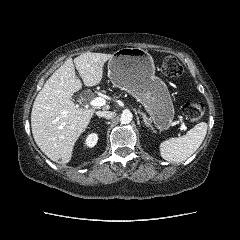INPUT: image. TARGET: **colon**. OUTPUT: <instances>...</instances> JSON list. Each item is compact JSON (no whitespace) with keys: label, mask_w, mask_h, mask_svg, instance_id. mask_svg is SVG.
I'll use <instances>...</instances> for the list:
<instances>
[{"label":"colon","mask_w":240,"mask_h":240,"mask_svg":"<svg viewBox=\"0 0 240 240\" xmlns=\"http://www.w3.org/2000/svg\"><path fill=\"white\" fill-rule=\"evenodd\" d=\"M162 71L167 77H177L182 74L183 68L175 57H167L162 64ZM205 112L204 104L199 101L187 102L183 106V113L191 123L199 122Z\"/></svg>","instance_id":"obj_1"}]
</instances>
